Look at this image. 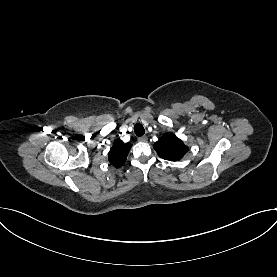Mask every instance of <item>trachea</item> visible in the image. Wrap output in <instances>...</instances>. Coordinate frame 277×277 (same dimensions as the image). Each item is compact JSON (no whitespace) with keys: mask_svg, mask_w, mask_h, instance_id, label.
Returning a JSON list of instances; mask_svg holds the SVG:
<instances>
[{"mask_svg":"<svg viewBox=\"0 0 277 277\" xmlns=\"http://www.w3.org/2000/svg\"><path fill=\"white\" fill-rule=\"evenodd\" d=\"M134 132H135V134H136L137 136H143L144 133H145V129H144V127H143L141 124L137 123V124L134 126Z\"/></svg>","mask_w":277,"mask_h":277,"instance_id":"trachea-1","label":"trachea"}]
</instances>
